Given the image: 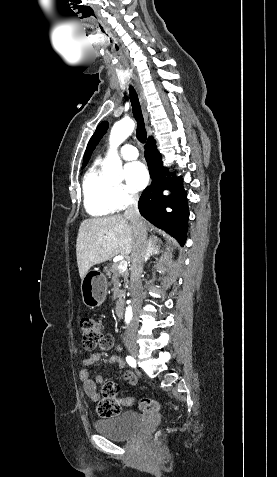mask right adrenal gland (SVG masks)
<instances>
[{
    "instance_id": "1",
    "label": "right adrenal gland",
    "mask_w": 277,
    "mask_h": 477,
    "mask_svg": "<svg viewBox=\"0 0 277 477\" xmlns=\"http://www.w3.org/2000/svg\"><path fill=\"white\" fill-rule=\"evenodd\" d=\"M159 253H160V244L157 242L156 239L150 238L147 244L145 262H147L151 256L157 255Z\"/></svg>"
}]
</instances>
